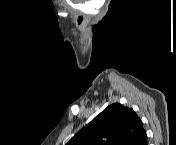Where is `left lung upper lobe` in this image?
Returning <instances> with one entry per match:
<instances>
[{
	"mask_svg": "<svg viewBox=\"0 0 176 145\" xmlns=\"http://www.w3.org/2000/svg\"><path fill=\"white\" fill-rule=\"evenodd\" d=\"M146 136L133 109L112 104L82 128L67 145H140Z\"/></svg>",
	"mask_w": 176,
	"mask_h": 145,
	"instance_id": "left-lung-upper-lobe-1",
	"label": "left lung upper lobe"
}]
</instances>
